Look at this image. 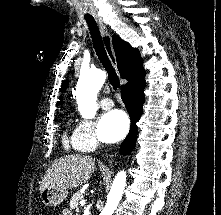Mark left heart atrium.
Listing matches in <instances>:
<instances>
[{
    "mask_svg": "<svg viewBox=\"0 0 221 215\" xmlns=\"http://www.w3.org/2000/svg\"><path fill=\"white\" fill-rule=\"evenodd\" d=\"M98 128L103 140L115 142L126 135L129 129V119L123 111L112 110L101 117Z\"/></svg>",
    "mask_w": 221,
    "mask_h": 215,
    "instance_id": "39dd6f15",
    "label": "left heart atrium"
}]
</instances>
